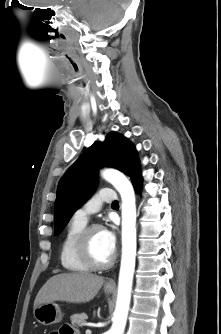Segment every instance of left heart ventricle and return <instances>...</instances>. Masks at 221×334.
I'll use <instances>...</instances> for the list:
<instances>
[{
	"mask_svg": "<svg viewBox=\"0 0 221 334\" xmlns=\"http://www.w3.org/2000/svg\"><path fill=\"white\" fill-rule=\"evenodd\" d=\"M91 251L95 259L99 262L108 261L113 250L107 245L103 230H95L91 237Z\"/></svg>",
	"mask_w": 221,
	"mask_h": 334,
	"instance_id": "obj_1",
	"label": "left heart ventricle"
}]
</instances>
